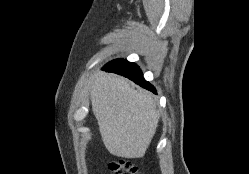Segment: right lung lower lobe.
Segmentation results:
<instances>
[{"mask_svg": "<svg viewBox=\"0 0 249 174\" xmlns=\"http://www.w3.org/2000/svg\"><path fill=\"white\" fill-rule=\"evenodd\" d=\"M103 70L107 72H114L124 77H127L130 80L134 81L136 84L140 85L141 87L156 93L154 87L147 81H145L140 68L135 63H131L127 60L121 59L119 61L108 63L104 66Z\"/></svg>", "mask_w": 249, "mask_h": 174, "instance_id": "obj_1", "label": "right lung lower lobe"}]
</instances>
